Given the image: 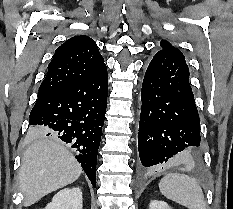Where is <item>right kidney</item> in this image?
Segmentation results:
<instances>
[{
  "instance_id": "right-kidney-1",
  "label": "right kidney",
  "mask_w": 233,
  "mask_h": 209,
  "mask_svg": "<svg viewBox=\"0 0 233 209\" xmlns=\"http://www.w3.org/2000/svg\"><path fill=\"white\" fill-rule=\"evenodd\" d=\"M82 191L79 187L59 191L44 209H82Z\"/></svg>"
}]
</instances>
